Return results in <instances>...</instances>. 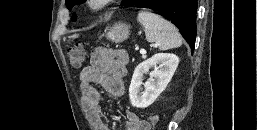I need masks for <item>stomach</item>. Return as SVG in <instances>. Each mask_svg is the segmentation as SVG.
<instances>
[{
    "label": "stomach",
    "mask_w": 257,
    "mask_h": 130,
    "mask_svg": "<svg viewBox=\"0 0 257 130\" xmlns=\"http://www.w3.org/2000/svg\"><path fill=\"white\" fill-rule=\"evenodd\" d=\"M130 35V26L125 22L115 23L106 33V38L112 42H122ZM77 35H72L70 38L73 40Z\"/></svg>",
    "instance_id": "stomach-1"
}]
</instances>
